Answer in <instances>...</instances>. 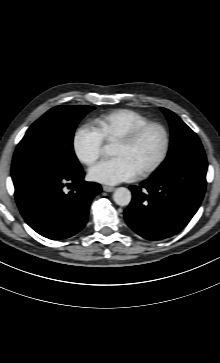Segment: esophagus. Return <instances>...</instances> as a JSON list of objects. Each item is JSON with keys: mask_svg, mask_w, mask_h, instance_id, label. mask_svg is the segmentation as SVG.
I'll return each mask as SVG.
<instances>
[{"mask_svg": "<svg viewBox=\"0 0 220 363\" xmlns=\"http://www.w3.org/2000/svg\"><path fill=\"white\" fill-rule=\"evenodd\" d=\"M103 190L105 192H112V191L115 190V188L114 187H111V186H103Z\"/></svg>", "mask_w": 220, "mask_h": 363, "instance_id": "34e87169", "label": "esophagus"}]
</instances>
